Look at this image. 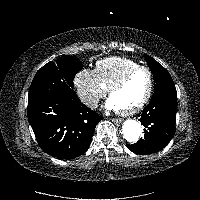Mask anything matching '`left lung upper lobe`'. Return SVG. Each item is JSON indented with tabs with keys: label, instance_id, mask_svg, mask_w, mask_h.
Wrapping results in <instances>:
<instances>
[{
	"label": "left lung upper lobe",
	"instance_id": "5c2ea615",
	"mask_svg": "<svg viewBox=\"0 0 200 200\" xmlns=\"http://www.w3.org/2000/svg\"><path fill=\"white\" fill-rule=\"evenodd\" d=\"M145 58L154 77V93L159 90H176L168 71L152 57L145 55Z\"/></svg>",
	"mask_w": 200,
	"mask_h": 200
}]
</instances>
